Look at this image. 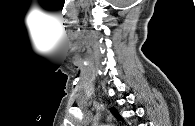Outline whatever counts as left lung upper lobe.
Returning <instances> with one entry per match:
<instances>
[{"instance_id": "left-lung-upper-lobe-1", "label": "left lung upper lobe", "mask_w": 195, "mask_h": 126, "mask_svg": "<svg viewBox=\"0 0 195 126\" xmlns=\"http://www.w3.org/2000/svg\"><path fill=\"white\" fill-rule=\"evenodd\" d=\"M110 111L112 112V114L117 118V119H121L120 115L118 114L117 110L115 108H110Z\"/></svg>"}]
</instances>
